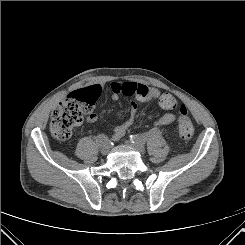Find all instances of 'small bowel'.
Masks as SVG:
<instances>
[{
    "label": "small bowel",
    "instance_id": "c3829d8e",
    "mask_svg": "<svg viewBox=\"0 0 245 245\" xmlns=\"http://www.w3.org/2000/svg\"><path fill=\"white\" fill-rule=\"evenodd\" d=\"M140 87H145L149 89L151 97L158 98L159 100L158 103H159L160 108L167 111L153 122L154 127L170 125L177 120L178 115L175 112H173V110L176 109L177 104H178L176 98L167 93L160 94L158 90L147 87L143 84H138L134 82H123V83L112 82L110 84L112 99L118 100L122 95H124L128 97H135L138 100L137 90ZM137 114H138L137 102L131 101L128 117L122 124L118 125L113 130V132L110 135V138L114 141L119 140L124 135L127 128L134 122ZM97 119H98L97 114L94 112H90L87 115L86 121L88 123H93L97 121Z\"/></svg>",
    "mask_w": 245,
    "mask_h": 245
}]
</instances>
